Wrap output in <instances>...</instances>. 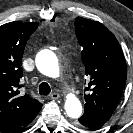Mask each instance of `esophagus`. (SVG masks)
Here are the masks:
<instances>
[{"instance_id": "1", "label": "esophagus", "mask_w": 133, "mask_h": 133, "mask_svg": "<svg viewBox=\"0 0 133 133\" xmlns=\"http://www.w3.org/2000/svg\"><path fill=\"white\" fill-rule=\"evenodd\" d=\"M59 97H60V95L56 92H54L50 95V98L53 99V100H57Z\"/></svg>"}]
</instances>
